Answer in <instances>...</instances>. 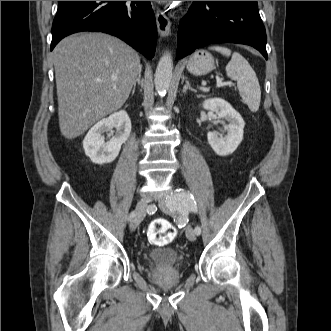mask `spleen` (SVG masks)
<instances>
[{
    "label": "spleen",
    "instance_id": "spleen-1",
    "mask_svg": "<svg viewBox=\"0 0 331 331\" xmlns=\"http://www.w3.org/2000/svg\"><path fill=\"white\" fill-rule=\"evenodd\" d=\"M209 49L220 52L224 56H231V50L223 46H211ZM226 74L236 80L242 100L252 112L259 109L261 89L255 71L249 62L238 52H233L231 60L226 66Z\"/></svg>",
    "mask_w": 331,
    "mask_h": 331
}]
</instances>
